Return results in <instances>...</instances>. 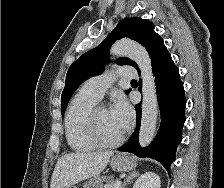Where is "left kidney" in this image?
I'll return each instance as SVG.
<instances>
[{
	"label": "left kidney",
	"mask_w": 224,
	"mask_h": 188,
	"mask_svg": "<svg viewBox=\"0 0 224 188\" xmlns=\"http://www.w3.org/2000/svg\"><path fill=\"white\" fill-rule=\"evenodd\" d=\"M160 177L154 172H146L142 174L134 183L133 188H160Z\"/></svg>",
	"instance_id": "left-kidney-1"
}]
</instances>
